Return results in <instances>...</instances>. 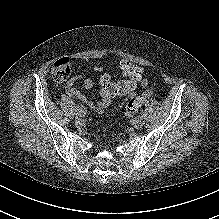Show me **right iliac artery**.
<instances>
[{
  "mask_svg": "<svg viewBox=\"0 0 219 219\" xmlns=\"http://www.w3.org/2000/svg\"><path fill=\"white\" fill-rule=\"evenodd\" d=\"M76 108L79 112L85 113V108H83V106L78 105Z\"/></svg>",
  "mask_w": 219,
  "mask_h": 219,
  "instance_id": "1",
  "label": "right iliac artery"
}]
</instances>
